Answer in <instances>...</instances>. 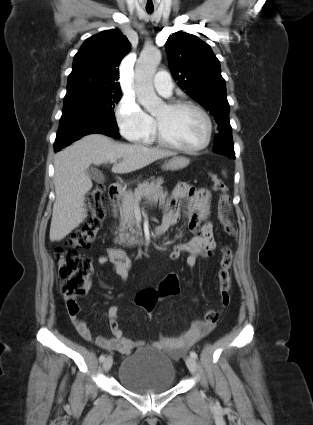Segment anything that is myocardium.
<instances>
[{
    "label": "myocardium",
    "instance_id": "obj_1",
    "mask_svg": "<svg viewBox=\"0 0 313 425\" xmlns=\"http://www.w3.org/2000/svg\"><path fill=\"white\" fill-rule=\"evenodd\" d=\"M166 107L169 110L175 111V110H179V109H184V108H189V109H193L195 111H197L205 120L206 123V135H205V139L204 141L193 148H187L181 145H178L176 143H174L173 141L169 140L162 132L158 121L155 119L154 122V136L155 139L157 140V142L164 146L167 147L169 149H173L182 153H187V154H194L197 152H200L202 150H204L206 147H208V145L211 142L212 139V135H213V122L212 119L210 117V115L206 112V110L204 108H202L200 105L191 102V101H175V102H170L166 105Z\"/></svg>",
    "mask_w": 313,
    "mask_h": 425
}]
</instances>
